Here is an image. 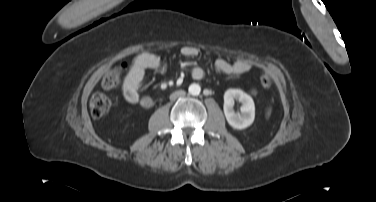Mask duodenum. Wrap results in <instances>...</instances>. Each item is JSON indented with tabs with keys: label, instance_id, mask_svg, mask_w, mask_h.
Here are the masks:
<instances>
[{
	"label": "duodenum",
	"instance_id": "1",
	"mask_svg": "<svg viewBox=\"0 0 376 202\" xmlns=\"http://www.w3.org/2000/svg\"><path fill=\"white\" fill-rule=\"evenodd\" d=\"M150 105H151L150 100L145 99V100L142 101V106L143 107L147 108V107H150Z\"/></svg>",
	"mask_w": 376,
	"mask_h": 202
}]
</instances>
